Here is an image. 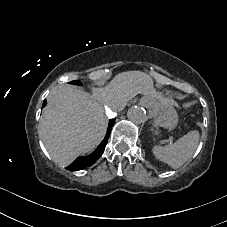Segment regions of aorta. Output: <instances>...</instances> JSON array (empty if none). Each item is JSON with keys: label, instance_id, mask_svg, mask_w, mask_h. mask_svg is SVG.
Segmentation results:
<instances>
[{"label": "aorta", "instance_id": "aorta-1", "mask_svg": "<svg viewBox=\"0 0 227 227\" xmlns=\"http://www.w3.org/2000/svg\"><path fill=\"white\" fill-rule=\"evenodd\" d=\"M127 117L135 124L144 123L147 120L146 110L139 106L131 107L128 109Z\"/></svg>", "mask_w": 227, "mask_h": 227}]
</instances>
